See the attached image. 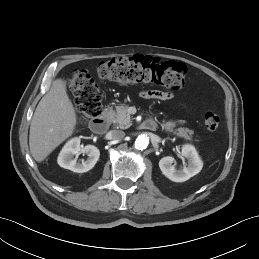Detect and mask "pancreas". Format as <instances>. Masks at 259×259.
Returning a JSON list of instances; mask_svg holds the SVG:
<instances>
[{
  "instance_id": "1",
  "label": "pancreas",
  "mask_w": 259,
  "mask_h": 259,
  "mask_svg": "<svg viewBox=\"0 0 259 259\" xmlns=\"http://www.w3.org/2000/svg\"><path fill=\"white\" fill-rule=\"evenodd\" d=\"M106 116L113 122L118 124V126L122 129H127L131 126V117L128 113V106L121 104L116 106V111H108L106 112ZM175 122H168L164 124V129L167 132H171L175 134L177 137L184 138L185 140H192L194 131L188 128H177Z\"/></svg>"
}]
</instances>
